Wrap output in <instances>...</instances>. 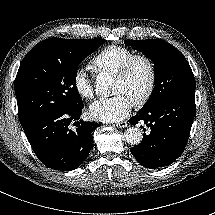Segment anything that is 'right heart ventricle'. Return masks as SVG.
I'll list each match as a JSON object with an SVG mask.
<instances>
[{
    "label": "right heart ventricle",
    "mask_w": 215,
    "mask_h": 215,
    "mask_svg": "<svg viewBox=\"0 0 215 215\" xmlns=\"http://www.w3.org/2000/svg\"><path fill=\"white\" fill-rule=\"evenodd\" d=\"M135 51L128 46L111 44L102 48L89 62L90 69L97 74L115 73L119 66Z\"/></svg>",
    "instance_id": "1"
}]
</instances>
